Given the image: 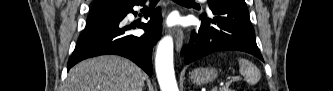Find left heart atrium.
<instances>
[{
    "mask_svg": "<svg viewBox=\"0 0 333 91\" xmlns=\"http://www.w3.org/2000/svg\"><path fill=\"white\" fill-rule=\"evenodd\" d=\"M170 23H171V24H173V23H174V21H171Z\"/></svg>",
    "mask_w": 333,
    "mask_h": 91,
    "instance_id": "obj_1",
    "label": "left heart atrium"
}]
</instances>
